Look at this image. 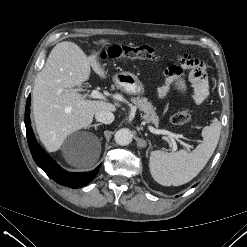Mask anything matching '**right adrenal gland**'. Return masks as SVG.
Instances as JSON below:
<instances>
[{"label": "right adrenal gland", "instance_id": "obj_1", "mask_svg": "<svg viewBox=\"0 0 247 247\" xmlns=\"http://www.w3.org/2000/svg\"><path fill=\"white\" fill-rule=\"evenodd\" d=\"M100 125H102V124L101 123H96V124H93V125H89L88 128L94 127L95 130H97V127L100 126Z\"/></svg>", "mask_w": 247, "mask_h": 247}]
</instances>
